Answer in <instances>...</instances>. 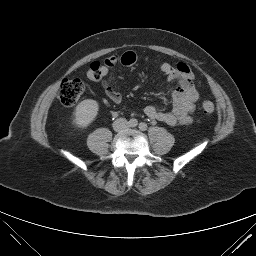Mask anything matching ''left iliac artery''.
<instances>
[{"mask_svg":"<svg viewBox=\"0 0 256 256\" xmlns=\"http://www.w3.org/2000/svg\"><path fill=\"white\" fill-rule=\"evenodd\" d=\"M139 129H140L141 131H146V130H147V124L141 122V123L139 124Z\"/></svg>","mask_w":256,"mask_h":256,"instance_id":"left-iliac-artery-1","label":"left iliac artery"}]
</instances>
